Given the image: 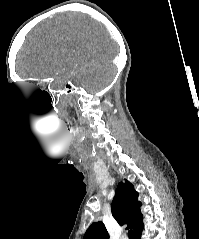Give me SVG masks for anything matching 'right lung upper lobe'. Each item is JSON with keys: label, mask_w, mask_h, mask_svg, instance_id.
<instances>
[{"label": "right lung upper lobe", "mask_w": 199, "mask_h": 239, "mask_svg": "<svg viewBox=\"0 0 199 239\" xmlns=\"http://www.w3.org/2000/svg\"><path fill=\"white\" fill-rule=\"evenodd\" d=\"M141 202L138 201V192L133 185L125 179L119 182L112 201V215L120 224H127V228L134 231L142 224L140 212ZM83 239H109V234L102 222L93 223L86 231Z\"/></svg>", "instance_id": "right-lung-upper-lobe-1"}]
</instances>
